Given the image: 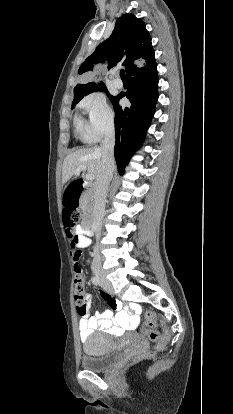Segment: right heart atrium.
<instances>
[{"mask_svg": "<svg viewBox=\"0 0 233 414\" xmlns=\"http://www.w3.org/2000/svg\"><path fill=\"white\" fill-rule=\"evenodd\" d=\"M80 108L87 117L82 138L87 142H97L110 133L115 124V115L106 98L97 93L84 97Z\"/></svg>", "mask_w": 233, "mask_h": 414, "instance_id": "d8ad5b80", "label": "right heart atrium"}]
</instances>
